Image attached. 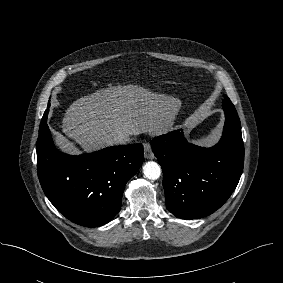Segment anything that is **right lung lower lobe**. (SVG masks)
<instances>
[{
	"label": "right lung lower lobe",
	"mask_w": 283,
	"mask_h": 283,
	"mask_svg": "<svg viewBox=\"0 0 283 283\" xmlns=\"http://www.w3.org/2000/svg\"><path fill=\"white\" fill-rule=\"evenodd\" d=\"M47 111L37 139L38 177L45 195L78 225L108 223L120 210L127 181L143 163V146H115L79 156L61 153L46 123Z\"/></svg>",
	"instance_id": "obj_1"
}]
</instances>
